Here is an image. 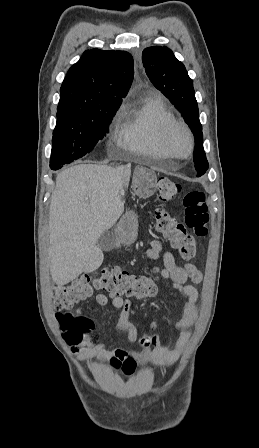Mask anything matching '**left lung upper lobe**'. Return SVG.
<instances>
[{
  "label": "left lung upper lobe",
  "instance_id": "5c2ea615",
  "mask_svg": "<svg viewBox=\"0 0 259 448\" xmlns=\"http://www.w3.org/2000/svg\"><path fill=\"white\" fill-rule=\"evenodd\" d=\"M142 62L153 85L160 90L184 117L195 137L194 163L198 173H205L209 164L203 149L202 126L193 81L187 70L167 47L144 49Z\"/></svg>",
  "mask_w": 259,
  "mask_h": 448
}]
</instances>
